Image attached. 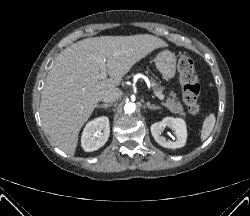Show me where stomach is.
<instances>
[{
	"mask_svg": "<svg viewBox=\"0 0 250 216\" xmlns=\"http://www.w3.org/2000/svg\"><path fill=\"white\" fill-rule=\"evenodd\" d=\"M155 65L163 78L171 81L176 74V55L168 50L161 51L155 58Z\"/></svg>",
	"mask_w": 250,
	"mask_h": 216,
	"instance_id": "stomach-1",
	"label": "stomach"
}]
</instances>
